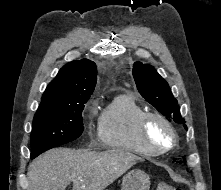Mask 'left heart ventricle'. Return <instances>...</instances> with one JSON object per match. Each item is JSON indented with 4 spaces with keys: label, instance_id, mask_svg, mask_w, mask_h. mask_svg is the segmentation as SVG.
<instances>
[{
    "label": "left heart ventricle",
    "instance_id": "obj_1",
    "mask_svg": "<svg viewBox=\"0 0 221 190\" xmlns=\"http://www.w3.org/2000/svg\"><path fill=\"white\" fill-rule=\"evenodd\" d=\"M150 141L158 146L164 147L170 144L171 136L166 127L158 120L150 121L147 130Z\"/></svg>",
    "mask_w": 221,
    "mask_h": 190
}]
</instances>
